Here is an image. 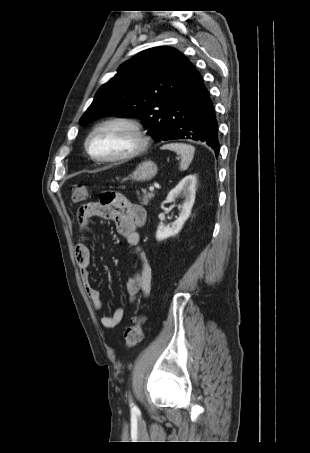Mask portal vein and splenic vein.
Here are the masks:
<instances>
[{"instance_id":"portal-vein-and-splenic-vein-1","label":"portal vein and splenic vein","mask_w":310,"mask_h":453,"mask_svg":"<svg viewBox=\"0 0 310 453\" xmlns=\"http://www.w3.org/2000/svg\"><path fill=\"white\" fill-rule=\"evenodd\" d=\"M154 189H155V187H154V186H150V187H149V190H150L151 192H153V191H154Z\"/></svg>"}]
</instances>
